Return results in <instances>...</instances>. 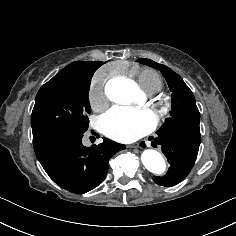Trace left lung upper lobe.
I'll return each instance as SVG.
<instances>
[{
  "label": "left lung upper lobe",
  "instance_id": "5c2ea615",
  "mask_svg": "<svg viewBox=\"0 0 236 236\" xmlns=\"http://www.w3.org/2000/svg\"><path fill=\"white\" fill-rule=\"evenodd\" d=\"M137 61L159 69L172 91L171 117L165 121L157 134L160 135L167 129H179L192 133H200V113L196 106L193 93L182 78L169 67L158 64L150 59L139 58Z\"/></svg>",
  "mask_w": 236,
  "mask_h": 236
}]
</instances>
